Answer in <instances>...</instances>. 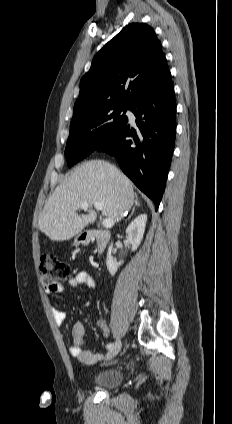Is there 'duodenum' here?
I'll list each match as a JSON object with an SVG mask.
<instances>
[{"instance_id": "duodenum-1", "label": "duodenum", "mask_w": 232, "mask_h": 424, "mask_svg": "<svg viewBox=\"0 0 232 424\" xmlns=\"http://www.w3.org/2000/svg\"><path fill=\"white\" fill-rule=\"evenodd\" d=\"M110 236L111 234L108 230L94 229L88 231L84 235V239L87 243L94 241L96 244V252L98 255H101L109 243Z\"/></svg>"}]
</instances>
